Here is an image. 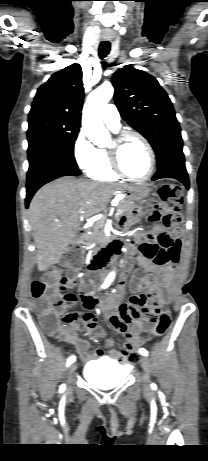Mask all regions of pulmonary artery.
<instances>
[{"mask_svg":"<svg viewBox=\"0 0 208 461\" xmlns=\"http://www.w3.org/2000/svg\"><path fill=\"white\" fill-rule=\"evenodd\" d=\"M102 118L111 130L117 131L120 128V115L113 104H108L104 107Z\"/></svg>","mask_w":208,"mask_h":461,"instance_id":"obj_1","label":"pulmonary artery"}]
</instances>
